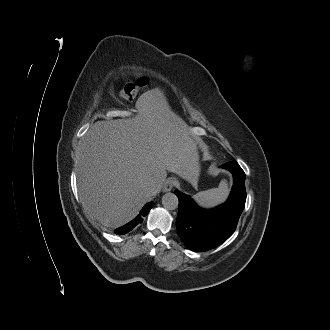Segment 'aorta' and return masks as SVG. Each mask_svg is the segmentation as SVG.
<instances>
[{
	"mask_svg": "<svg viewBox=\"0 0 330 330\" xmlns=\"http://www.w3.org/2000/svg\"><path fill=\"white\" fill-rule=\"evenodd\" d=\"M162 205L167 209H175L178 206V198L174 193L167 192L162 196Z\"/></svg>",
	"mask_w": 330,
	"mask_h": 330,
	"instance_id": "762f6f07",
	"label": "aorta"
}]
</instances>
